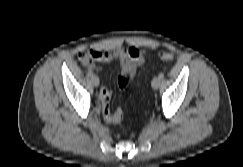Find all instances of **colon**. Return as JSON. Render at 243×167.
<instances>
[{"instance_id": "5ec220e1", "label": "colon", "mask_w": 243, "mask_h": 167, "mask_svg": "<svg viewBox=\"0 0 243 167\" xmlns=\"http://www.w3.org/2000/svg\"><path fill=\"white\" fill-rule=\"evenodd\" d=\"M158 58L165 62H171L174 59V56L171 52L161 51L158 53ZM132 74L129 72L121 73L118 77V85L120 89H124L132 80Z\"/></svg>"}]
</instances>
